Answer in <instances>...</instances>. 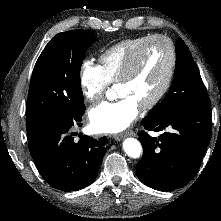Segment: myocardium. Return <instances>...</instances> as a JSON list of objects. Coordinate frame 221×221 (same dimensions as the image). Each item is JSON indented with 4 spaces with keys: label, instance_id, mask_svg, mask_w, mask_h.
I'll list each match as a JSON object with an SVG mask.
<instances>
[{
    "label": "myocardium",
    "instance_id": "f54148a6",
    "mask_svg": "<svg viewBox=\"0 0 221 221\" xmlns=\"http://www.w3.org/2000/svg\"><path fill=\"white\" fill-rule=\"evenodd\" d=\"M155 41H164L167 43V45L169 47V51H170V64H169L167 76H166L162 86L158 90V92L147 103L140 106V109L144 110V111L151 110L154 107H156L162 101L164 96L167 94V92L172 84V81H173V78L175 75L176 65H177V51H176V46H175L173 40L170 37H168L166 35H162V34L150 36L144 43L141 44V46L129 58L124 71L122 72L121 76L119 77V79L116 82L117 85L122 84V83H126L134 77V75L136 74V72L139 68V65H140V62L142 59V55H143L145 49L151 43H153Z\"/></svg>",
    "mask_w": 221,
    "mask_h": 221
}]
</instances>
